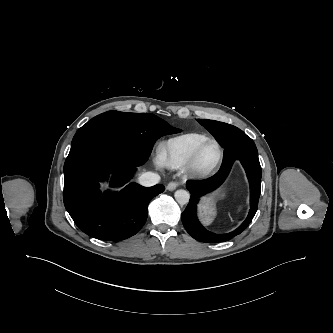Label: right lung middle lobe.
<instances>
[{
    "label": "right lung middle lobe",
    "mask_w": 333,
    "mask_h": 333,
    "mask_svg": "<svg viewBox=\"0 0 333 333\" xmlns=\"http://www.w3.org/2000/svg\"><path fill=\"white\" fill-rule=\"evenodd\" d=\"M179 132V129L170 127L167 122L150 113L109 111L83 125L72 143L90 135L105 136L149 157L158 138Z\"/></svg>",
    "instance_id": "dd1d6c3e"
}]
</instances>
